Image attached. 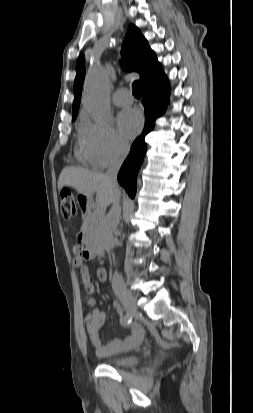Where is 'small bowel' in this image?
Masks as SVG:
<instances>
[{"label":"small bowel","instance_id":"small-bowel-1","mask_svg":"<svg viewBox=\"0 0 253 413\" xmlns=\"http://www.w3.org/2000/svg\"><path fill=\"white\" fill-rule=\"evenodd\" d=\"M74 253L75 258L73 259V266L80 271L83 285L86 291L91 294L94 291V285L91 282L89 269L86 265V261L90 260L91 257L79 245L74 247ZM96 276L100 282H104L107 278L106 269L104 267H98ZM94 303V298H90L89 304ZM115 309L117 312H120L119 305L116 304ZM104 322L105 314L98 309L90 311L84 318V323L90 343L96 354L99 356H110L131 350L137 347L144 338V330L142 329V327L134 324L131 327L130 334L125 339H113L107 343H103L100 338L99 331L103 327ZM121 323L122 325L127 326V324L123 320L121 321Z\"/></svg>","mask_w":253,"mask_h":413}]
</instances>
